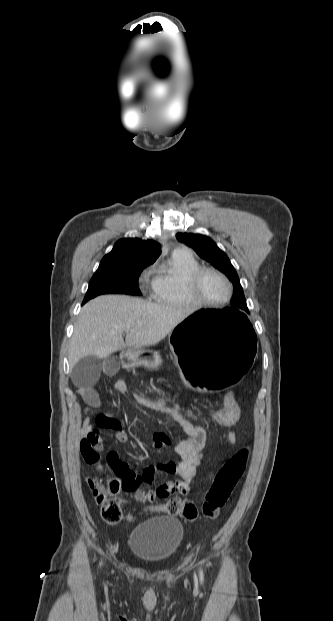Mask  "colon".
<instances>
[{
    "mask_svg": "<svg viewBox=\"0 0 333 621\" xmlns=\"http://www.w3.org/2000/svg\"><path fill=\"white\" fill-rule=\"evenodd\" d=\"M121 383L125 389V394L132 397L138 405L167 415L175 421L194 423V421L208 420L215 425L228 427L239 418L240 408L233 391H228L221 407L205 416L168 396L144 392L125 380H121ZM248 456L249 450L242 448L220 468L201 507V512L206 518L215 519L219 516L221 509L226 505L235 486L245 472ZM113 471L114 476L105 482L95 477L87 478L94 499L100 506L101 518L109 524H117L123 518L121 500L117 494L122 490L133 491L138 481L136 474L125 467H118ZM155 509L169 515H179L190 522L197 521L199 518L198 508L189 500L171 498Z\"/></svg>",
    "mask_w": 333,
    "mask_h": 621,
    "instance_id": "5ec220e1",
    "label": "colon"
}]
</instances>
